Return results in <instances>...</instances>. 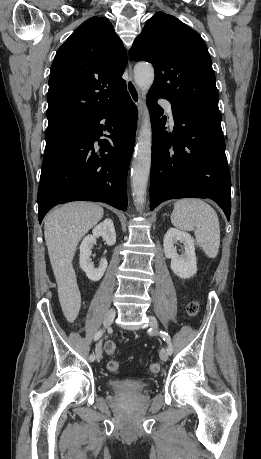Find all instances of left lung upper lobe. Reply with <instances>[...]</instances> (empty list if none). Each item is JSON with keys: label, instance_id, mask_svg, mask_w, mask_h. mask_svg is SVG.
I'll list each match as a JSON object with an SVG mask.
<instances>
[{"label": "left lung upper lobe", "instance_id": "obj_1", "mask_svg": "<svg viewBox=\"0 0 261 459\" xmlns=\"http://www.w3.org/2000/svg\"><path fill=\"white\" fill-rule=\"evenodd\" d=\"M129 55L152 63L150 92L180 109L219 114L212 62L201 36L172 15L158 12L146 22Z\"/></svg>", "mask_w": 261, "mask_h": 459}]
</instances>
